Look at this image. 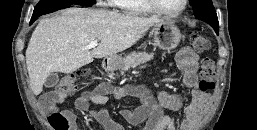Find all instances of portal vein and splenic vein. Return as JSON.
<instances>
[{
  "label": "portal vein and splenic vein",
  "instance_id": "18ae733b",
  "mask_svg": "<svg viewBox=\"0 0 257 130\" xmlns=\"http://www.w3.org/2000/svg\"><path fill=\"white\" fill-rule=\"evenodd\" d=\"M97 45H98V41H97V40H95V41H91V42L89 43V45H88V46H86V48H85V49H91V48L96 47Z\"/></svg>",
  "mask_w": 257,
  "mask_h": 130
}]
</instances>
